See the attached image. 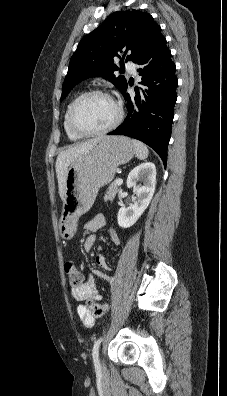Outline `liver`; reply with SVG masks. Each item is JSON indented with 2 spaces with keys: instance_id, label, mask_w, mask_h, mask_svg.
I'll return each instance as SVG.
<instances>
[{
  "instance_id": "obj_1",
  "label": "liver",
  "mask_w": 227,
  "mask_h": 396,
  "mask_svg": "<svg viewBox=\"0 0 227 396\" xmlns=\"http://www.w3.org/2000/svg\"><path fill=\"white\" fill-rule=\"evenodd\" d=\"M102 137L88 140L76 144L75 146L62 151L56 160V174L58 179L59 195L62 200H64L65 194V181L67 176L68 167L70 164L77 159L81 154L90 149L94 144H96Z\"/></svg>"
}]
</instances>
